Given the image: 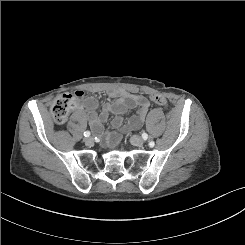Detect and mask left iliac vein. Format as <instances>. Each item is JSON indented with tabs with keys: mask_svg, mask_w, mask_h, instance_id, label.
Segmentation results:
<instances>
[{
	"mask_svg": "<svg viewBox=\"0 0 245 245\" xmlns=\"http://www.w3.org/2000/svg\"><path fill=\"white\" fill-rule=\"evenodd\" d=\"M131 143L135 146H142L144 144V141L142 138H140L139 136L137 135H133L131 137Z\"/></svg>",
	"mask_w": 245,
	"mask_h": 245,
	"instance_id": "obj_1",
	"label": "left iliac vein"
}]
</instances>
